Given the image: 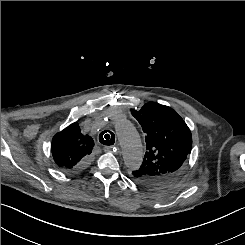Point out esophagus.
I'll list each match as a JSON object with an SVG mask.
<instances>
[{"label": "esophagus", "mask_w": 245, "mask_h": 245, "mask_svg": "<svg viewBox=\"0 0 245 245\" xmlns=\"http://www.w3.org/2000/svg\"><path fill=\"white\" fill-rule=\"evenodd\" d=\"M114 149H115V147H113V146H105L104 147L105 152H112Z\"/></svg>", "instance_id": "34e87169"}]
</instances>
